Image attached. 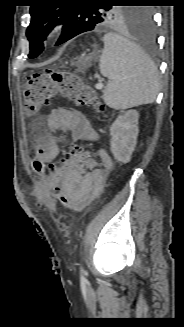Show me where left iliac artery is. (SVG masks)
I'll list each match as a JSON object with an SVG mask.
<instances>
[{
  "label": "left iliac artery",
  "mask_w": 184,
  "mask_h": 327,
  "mask_svg": "<svg viewBox=\"0 0 184 327\" xmlns=\"http://www.w3.org/2000/svg\"><path fill=\"white\" fill-rule=\"evenodd\" d=\"M81 273H85V271H84V269H83V268H81Z\"/></svg>",
  "instance_id": "44dca946"
}]
</instances>
